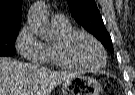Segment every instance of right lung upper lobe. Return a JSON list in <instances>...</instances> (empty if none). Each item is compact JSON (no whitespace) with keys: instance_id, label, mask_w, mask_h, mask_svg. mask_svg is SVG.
Wrapping results in <instances>:
<instances>
[{"instance_id":"cb5924a9","label":"right lung upper lobe","mask_w":135,"mask_h":95,"mask_svg":"<svg viewBox=\"0 0 135 95\" xmlns=\"http://www.w3.org/2000/svg\"><path fill=\"white\" fill-rule=\"evenodd\" d=\"M21 7L22 0H0V33L20 29Z\"/></svg>"}]
</instances>
